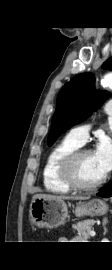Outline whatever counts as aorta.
<instances>
[{
  "label": "aorta",
  "instance_id": "1",
  "mask_svg": "<svg viewBox=\"0 0 112 270\" xmlns=\"http://www.w3.org/2000/svg\"><path fill=\"white\" fill-rule=\"evenodd\" d=\"M103 86H106L110 89H112V73H109L104 76V78L101 81Z\"/></svg>",
  "mask_w": 112,
  "mask_h": 270
}]
</instances>
